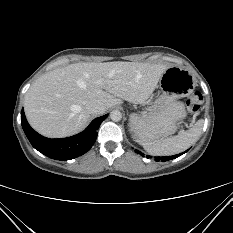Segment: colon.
Returning <instances> with one entry per match:
<instances>
[{"label":"colon","mask_w":233,"mask_h":233,"mask_svg":"<svg viewBox=\"0 0 233 233\" xmlns=\"http://www.w3.org/2000/svg\"><path fill=\"white\" fill-rule=\"evenodd\" d=\"M203 101L202 94L200 92L192 93L187 99V106L190 112L196 113Z\"/></svg>","instance_id":"1"}]
</instances>
